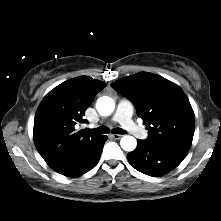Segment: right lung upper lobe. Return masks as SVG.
<instances>
[{"label": "right lung upper lobe", "mask_w": 221, "mask_h": 221, "mask_svg": "<svg viewBox=\"0 0 221 221\" xmlns=\"http://www.w3.org/2000/svg\"><path fill=\"white\" fill-rule=\"evenodd\" d=\"M105 83L79 76L55 87L40 103L34 121V143L46 163L64 174L90 155L103 135L78 130L85 110Z\"/></svg>", "instance_id": "right-lung-upper-lobe-1"}]
</instances>
